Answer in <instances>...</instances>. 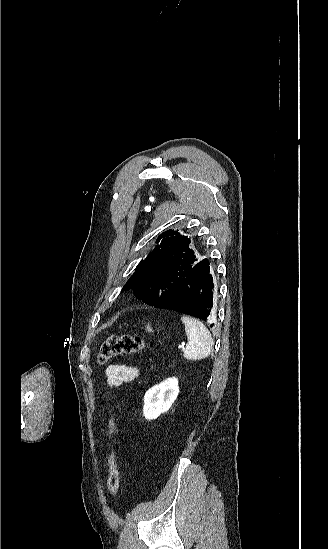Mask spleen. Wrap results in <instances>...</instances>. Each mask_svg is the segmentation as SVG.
<instances>
[{
  "label": "spleen",
  "mask_w": 328,
  "mask_h": 549,
  "mask_svg": "<svg viewBox=\"0 0 328 549\" xmlns=\"http://www.w3.org/2000/svg\"><path fill=\"white\" fill-rule=\"evenodd\" d=\"M181 321L184 323L188 339L183 357L189 359V361H199V359L209 357L212 351L213 339L207 327L200 323L198 319L186 317V315L181 317Z\"/></svg>",
  "instance_id": "1"
}]
</instances>
